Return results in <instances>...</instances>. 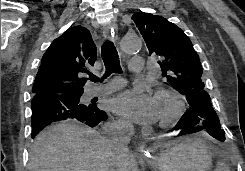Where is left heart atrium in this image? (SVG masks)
Returning a JSON list of instances; mask_svg holds the SVG:
<instances>
[{
  "label": "left heart atrium",
  "mask_w": 245,
  "mask_h": 171,
  "mask_svg": "<svg viewBox=\"0 0 245 171\" xmlns=\"http://www.w3.org/2000/svg\"><path fill=\"white\" fill-rule=\"evenodd\" d=\"M111 108L114 112L139 124L152 123L159 118L156 97L141 86L125 90L114 97Z\"/></svg>",
  "instance_id": "obj_1"
}]
</instances>
